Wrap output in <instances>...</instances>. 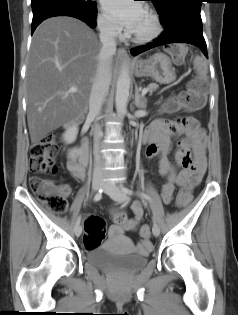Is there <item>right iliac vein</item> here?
<instances>
[{
	"label": "right iliac vein",
	"mask_w": 238,
	"mask_h": 315,
	"mask_svg": "<svg viewBox=\"0 0 238 315\" xmlns=\"http://www.w3.org/2000/svg\"><path fill=\"white\" fill-rule=\"evenodd\" d=\"M103 187V181L101 179H94L92 182V189L98 191ZM74 233L76 236H80L82 233V226L77 224L74 228Z\"/></svg>",
	"instance_id": "1"
}]
</instances>
